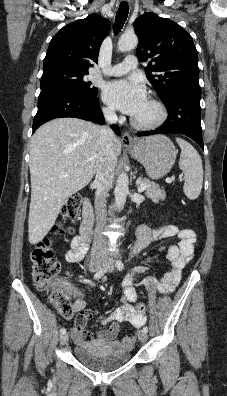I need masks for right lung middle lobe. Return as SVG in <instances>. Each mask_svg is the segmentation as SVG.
Wrapping results in <instances>:
<instances>
[{
  "instance_id": "1",
  "label": "right lung middle lobe",
  "mask_w": 227,
  "mask_h": 396,
  "mask_svg": "<svg viewBox=\"0 0 227 396\" xmlns=\"http://www.w3.org/2000/svg\"><path fill=\"white\" fill-rule=\"evenodd\" d=\"M87 74L88 71L70 68L44 70L40 84L41 93L63 89L86 97H96L97 88L91 86V82L86 80Z\"/></svg>"
}]
</instances>
